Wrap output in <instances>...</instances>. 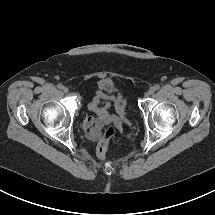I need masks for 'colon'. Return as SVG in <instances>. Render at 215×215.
I'll return each instance as SVG.
<instances>
[{
	"instance_id": "1",
	"label": "colon",
	"mask_w": 215,
	"mask_h": 215,
	"mask_svg": "<svg viewBox=\"0 0 215 215\" xmlns=\"http://www.w3.org/2000/svg\"><path fill=\"white\" fill-rule=\"evenodd\" d=\"M116 133H117V128L112 124L106 125L105 128L103 129L101 139L97 146V154L100 159L102 160L107 159V150H108L109 143L114 138Z\"/></svg>"
}]
</instances>
